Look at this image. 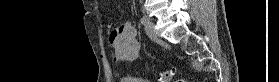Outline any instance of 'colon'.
Segmentation results:
<instances>
[{"mask_svg":"<svg viewBox=\"0 0 279 82\" xmlns=\"http://www.w3.org/2000/svg\"><path fill=\"white\" fill-rule=\"evenodd\" d=\"M174 73H175L174 67L167 68L162 74L161 82H169L172 79Z\"/></svg>","mask_w":279,"mask_h":82,"instance_id":"colon-1","label":"colon"}]
</instances>
